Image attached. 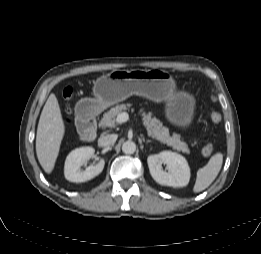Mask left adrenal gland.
<instances>
[{"label":"left adrenal gland","mask_w":261,"mask_h":254,"mask_svg":"<svg viewBox=\"0 0 261 254\" xmlns=\"http://www.w3.org/2000/svg\"><path fill=\"white\" fill-rule=\"evenodd\" d=\"M142 140H143V142H144V143H146V144H147V143H151V142H152L151 140H147V141H145V139H144V138H143Z\"/></svg>","instance_id":"obj_1"}]
</instances>
